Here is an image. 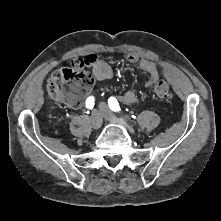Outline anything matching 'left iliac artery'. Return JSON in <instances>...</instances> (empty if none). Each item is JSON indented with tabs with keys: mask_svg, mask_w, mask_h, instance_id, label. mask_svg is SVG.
<instances>
[{
	"mask_svg": "<svg viewBox=\"0 0 221 221\" xmlns=\"http://www.w3.org/2000/svg\"><path fill=\"white\" fill-rule=\"evenodd\" d=\"M108 105H109L110 109L114 112H119L121 110L119 103L115 97H110L108 99Z\"/></svg>",
	"mask_w": 221,
	"mask_h": 221,
	"instance_id": "44dca946",
	"label": "left iliac artery"
}]
</instances>
